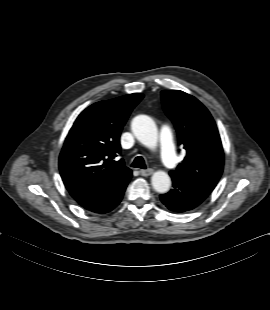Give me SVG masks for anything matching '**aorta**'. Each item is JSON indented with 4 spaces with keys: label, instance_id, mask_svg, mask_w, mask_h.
I'll list each match as a JSON object with an SVG mask.
<instances>
[{
    "label": "aorta",
    "instance_id": "obj_1",
    "mask_svg": "<svg viewBox=\"0 0 270 310\" xmlns=\"http://www.w3.org/2000/svg\"><path fill=\"white\" fill-rule=\"evenodd\" d=\"M131 129L135 137L145 146L155 148L158 141V131L155 122L146 115L133 118ZM153 189L158 193H166L170 189L171 179L164 171H156L151 177Z\"/></svg>",
    "mask_w": 270,
    "mask_h": 310
}]
</instances>
